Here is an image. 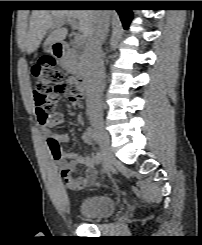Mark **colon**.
Here are the masks:
<instances>
[{"mask_svg":"<svg viewBox=\"0 0 202 245\" xmlns=\"http://www.w3.org/2000/svg\"><path fill=\"white\" fill-rule=\"evenodd\" d=\"M31 75L34 80L33 99L39 120L44 124H52V109L58 96H65L72 106L78 104V93L75 88L64 79L63 73L56 67V61L52 57H45L31 67ZM52 154L58 156L61 146L54 139L49 145Z\"/></svg>","mask_w":202,"mask_h":245,"instance_id":"obj_1","label":"colon"}]
</instances>
